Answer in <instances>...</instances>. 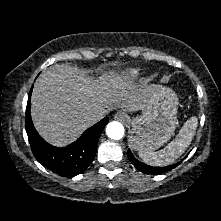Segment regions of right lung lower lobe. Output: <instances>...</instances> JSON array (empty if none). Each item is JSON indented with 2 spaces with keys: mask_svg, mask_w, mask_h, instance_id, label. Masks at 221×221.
<instances>
[{
  "mask_svg": "<svg viewBox=\"0 0 221 221\" xmlns=\"http://www.w3.org/2000/svg\"><path fill=\"white\" fill-rule=\"evenodd\" d=\"M31 92L32 89L28 96L25 127L34 157L44 167L60 176L73 177L81 174L95 158L98 140L108 123V118L105 117L87 129L77 141L69 146L54 147L48 144L33 126L30 116Z\"/></svg>",
  "mask_w": 221,
  "mask_h": 221,
  "instance_id": "1",
  "label": "right lung lower lobe"
}]
</instances>
